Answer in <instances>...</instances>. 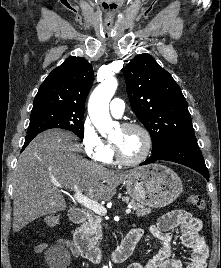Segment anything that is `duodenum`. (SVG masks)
<instances>
[{"label": "duodenum", "mask_w": 221, "mask_h": 268, "mask_svg": "<svg viewBox=\"0 0 221 268\" xmlns=\"http://www.w3.org/2000/svg\"><path fill=\"white\" fill-rule=\"evenodd\" d=\"M87 217L88 214L83 209H73L70 212V219L78 225L73 233V244L81 257L99 263L105 259L106 255L101 248L91 243L84 235L81 226L85 223ZM140 238V234L135 229L130 230L122 243L112 250L108 257L114 263H122L133 253Z\"/></svg>", "instance_id": "1"}]
</instances>
